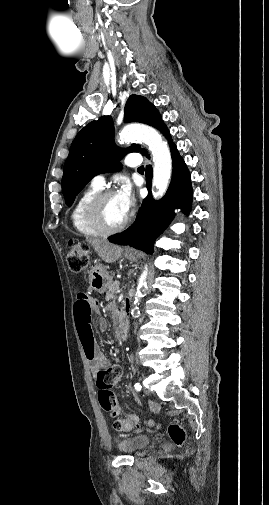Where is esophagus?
<instances>
[{"label":"esophagus","instance_id":"1","mask_svg":"<svg viewBox=\"0 0 269 505\" xmlns=\"http://www.w3.org/2000/svg\"><path fill=\"white\" fill-rule=\"evenodd\" d=\"M125 250H126L127 252H132V249H131V248H129V247H127Z\"/></svg>","mask_w":269,"mask_h":505}]
</instances>
